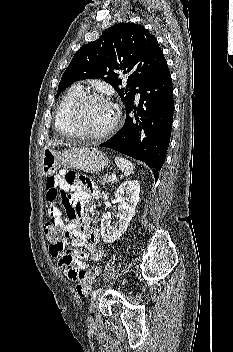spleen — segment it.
Returning a JSON list of instances; mask_svg holds the SVG:
<instances>
[{"mask_svg": "<svg viewBox=\"0 0 233 352\" xmlns=\"http://www.w3.org/2000/svg\"><path fill=\"white\" fill-rule=\"evenodd\" d=\"M115 163L119 169L124 173L125 176H129L134 170V164L122 157H116Z\"/></svg>", "mask_w": 233, "mask_h": 352, "instance_id": "spleen-1", "label": "spleen"}]
</instances>
